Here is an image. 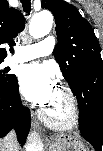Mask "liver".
I'll return each instance as SVG.
<instances>
[{"mask_svg":"<svg viewBox=\"0 0 103 151\" xmlns=\"http://www.w3.org/2000/svg\"><path fill=\"white\" fill-rule=\"evenodd\" d=\"M2 149H4V147H2ZM11 149L12 151H18L19 150L18 143L14 145Z\"/></svg>","mask_w":103,"mask_h":151,"instance_id":"liver-1","label":"liver"}]
</instances>
